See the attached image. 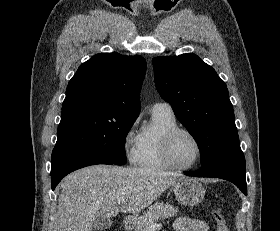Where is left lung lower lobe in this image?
Returning <instances> with one entry per match:
<instances>
[{"mask_svg": "<svg viewBox=\"0 0 280 231\" xmlns=\"http://www.w3.org/2000/svg\"><path fill=\"white\" fill-rule=\"evenodd\" d=\"M187 175L196 177L221 178L234 183L245 195L246 163L241 148L232 149L219 155L208 164L201 166L198 171H185Z\"/></svg>", "mask_w": 280, "mask_h": 231, "instance_id": "0a47b994", "label": "left lung lower lobe"}]
</instances>
